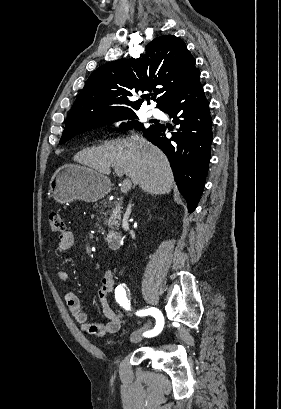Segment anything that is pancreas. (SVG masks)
Instances as JSON below:
<instances>
[{
  "label": "pancreas",
  "instance_id": "cf45deb5",
  "mask_svg": "<svg viewBox=\"0 0 281 409\" xmlns=\"http://www.w3.org/2000/svg\"><path fill=\"white\" fill-rule=\"evenodd\" d=\"M121 207L119 205V202H116V205L114 207V209H112L111 211V215H110V219H109V223H111L110 227L111 229H113L112 225H114V227H118L119 223H118V219H121Z\"/></svg>",
  "mask_w": 281,
  "mask_h": 409
}]
</instances>
